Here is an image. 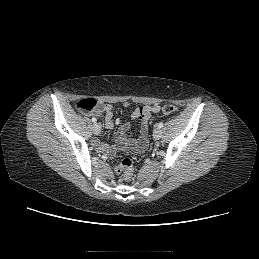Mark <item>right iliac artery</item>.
Returning <instances> with one entry per match:
<instances>
[{
	"label": "right iliac artery",
	"instance_id": "1",
	"mask_svg": "<svg viewBox=\"0 0 259 259\" xmlns=\"http://www.w3.org/2000/svg\"><path fill=\"white\" fill-rule=\"evenodd\" d=\"M92 122L96 123L97 122L96 118H92Z\"/></svg>",
	"mask_w": 259,
	"mask_h": 259
}]
</instances>
